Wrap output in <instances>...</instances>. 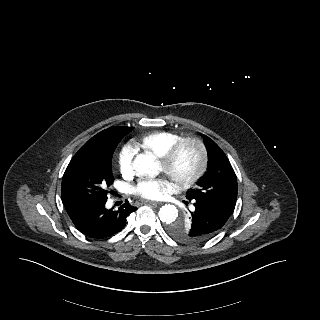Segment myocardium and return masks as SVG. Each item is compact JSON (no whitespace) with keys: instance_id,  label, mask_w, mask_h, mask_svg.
Instances as JSON below:
<instances>
[{"instance_id":"myocardium-1","label":"myocardium","mask_w":320,"mask_h":320,"mask_svg":"<svg viewBox=\"0 0 320 320\" xmlns=\"http://www.w3.org/2000/svg\"><path fill=\"white\" fill-rule=\"evenodd\" d=\"M186 145H193L198 152V166L196 170L185 178H177L173 172V168L181 153V150ZM165 173L172 180L175 188L182 190L195 184L205 173L208 163V153L204 142L195 136H187L180 138L161 158Z\"/></svg>"}]
</instances>
